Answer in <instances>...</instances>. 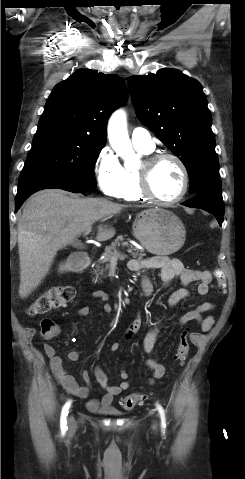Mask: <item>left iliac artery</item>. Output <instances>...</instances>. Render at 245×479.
<instances>
[{"mask_svg": "<svg viewBox=\"0 0 245 479\" xmlns=\"http://www.w3.org/2000/svg\"><path fill=\"white\" fill-rule=\"evenodd\" d=\"M157 409H158L160 417H161V427L164 430V428H166L165 412H164V409L162 408V406H160L159 404H157Z\"/></svg>", "mask_w": 245, "mask_h": 479, "instance_id": "1", "label": "left iliac artery"}]
</instances>
